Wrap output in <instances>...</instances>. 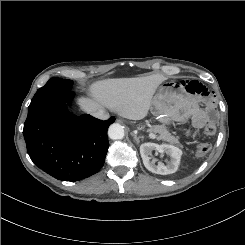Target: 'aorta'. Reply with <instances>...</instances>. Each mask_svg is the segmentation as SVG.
<instances>
[{"mask_svg": "<svg viewBox=\"0 0 245 245\" xmlns=\"http://www.w3.org/2000/svg\"><path fill=\"white\" fill-rule=\"evenodd\" d=\"M108 136L113 139H122L124 137V128L119 123H113L108 129Z\"/></svg>", "mask_w": 245, "mask_h": 245, "instance_id": "obj_1", "label": "aorta"}]
</instances>
